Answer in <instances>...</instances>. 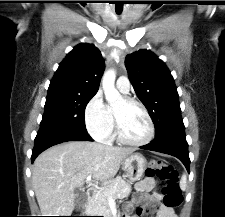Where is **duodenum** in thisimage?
<instances>
[{
    "label": "duodenum",
    "instance_id": "410a0bca",
    "mask_svg": "<svg viewBox=\"0 0 225 217\" xmlns=\"http://www.w3.org/2000/svg\"><path fill=\"white\" fill-rule=\"evenodd\" d=\"M93 197H94V192H93L92 190H89V191L87 192V199H88L89 201H91V200L93 199Z\"/></svg>",
    "mask_w": 225,
    "mask_h": 217
}]
</instances>
